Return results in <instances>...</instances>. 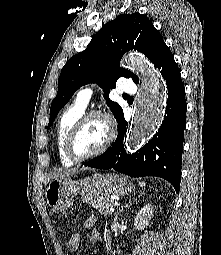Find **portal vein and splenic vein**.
<instances>
[{
  "label": "portal vein and splenic vein",
  "mask_w": 221,
  "mask_h": 255,
  "mask_svg": "<svg viewBox=\"0 0 221 255\" xmlns=\"http://www.w3.org/2000/svg\"><path fill=\"white\" fill-rule=\"evenodd\" d=\"M115 205H119V204H118V203H115ZM110 211H111V212H114L115 209L112 207V208H110Z\"/></svg>",
  "instance_id": "portal-vein-and-splenic-vein-1"
}]
</instances>
